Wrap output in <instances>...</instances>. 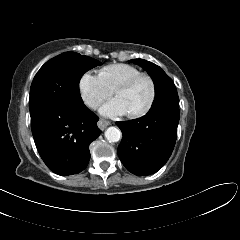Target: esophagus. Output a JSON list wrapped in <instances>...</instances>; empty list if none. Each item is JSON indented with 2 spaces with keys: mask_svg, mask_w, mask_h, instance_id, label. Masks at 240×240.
Returning a JSON list of instances; mask_svg holds the SVG:
<instances>
[{
  "mask_svg": "<svg viewBox=\"0 0 240 240\" xmlns=\"http://www.w3.org/2000/svg\"><path fill=\"white\" fill-rule=\"evenodd\" d=\"M110 122L109 121H106V120H103V119H100L97 123L98 127L101 129V130H104L107 126H109Z\"/></svg>",
  "mask_w": 240,
  "mask_h": 240,
  "instance_id": "obj_1",
  "label": "esophagus"
}]
</instances>
